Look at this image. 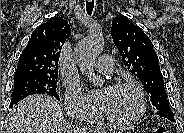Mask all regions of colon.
<instances>
[{"mask_svg": "<svg viewBox=\"0 0 184 133\" xmlns=\"http://www.w3.org/2000/svg\"><path fill=\"white\" fill-rule=\"evenodd\" d=\"M154 133H168V129H167L166 127L161 126V127H158V128L154 131Z\"/></svg>", "mask_w": 184, "mask_h": 133, "instance_id": "1", "label": "colon"}]
</instances>
